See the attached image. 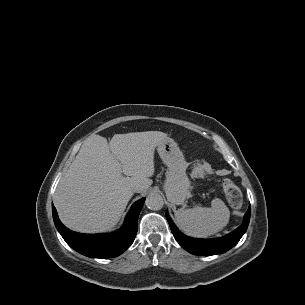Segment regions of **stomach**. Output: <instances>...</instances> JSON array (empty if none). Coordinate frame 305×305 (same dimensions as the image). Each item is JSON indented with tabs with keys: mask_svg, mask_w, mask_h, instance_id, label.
Returning a JSON list of instances; mask_svg holds the SVG:
<instances>
[{
	"mask_svg": "<svg viewBox=\"0 0 305 305\" xmlns=\"http://www.w3.org/2000/svg\"><path fill=\"white\" fill-rule=\"evenodd\" d=\"M157 151L167 166L164 190L168 199L178 205H183L190 196L191 182L186 173L187 163L183 152L177 143L166 138L159 143Z\"/></svg>",
	"mask_w": 305,
	"mask_h": 305,
	"instance_id": "stomach-1",
	"label": "stomach"
}]
</instances>
